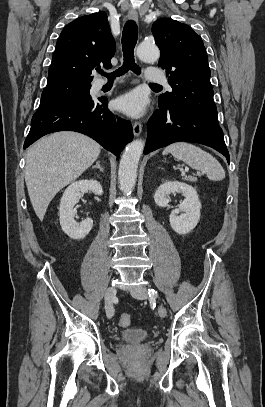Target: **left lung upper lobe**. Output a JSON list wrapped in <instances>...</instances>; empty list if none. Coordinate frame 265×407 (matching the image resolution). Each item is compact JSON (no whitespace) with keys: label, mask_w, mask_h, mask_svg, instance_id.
<instances>
[{"label":"left lung upper lobe","mask_w":265,"mask_h":407,"mask_svg":"<svg viewBox=\"0 0 265 407\" xmlns=\"http://www.w3.org/2000/svg\"><path fill=\"white\" fill-rule=\"evenodd\" d=\"M152 33L161 51L158 65L166 70L172 87V92L159 96V108L187 110L218 123L201 37L190 26L170 18L156 20Z\"/></svg>","instance_id":"5c2ea615"}]
</instances>
